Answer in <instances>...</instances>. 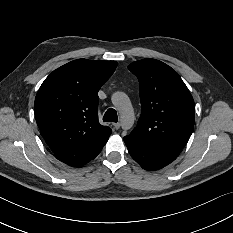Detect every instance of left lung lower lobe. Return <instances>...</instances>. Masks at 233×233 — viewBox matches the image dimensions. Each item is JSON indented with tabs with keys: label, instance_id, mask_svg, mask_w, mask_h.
Returning <instances> with one entry per match:
<instances>
[{
	"label": "left lung lower lobe",
	"instance_id": "0a47b994",
	"mask_svg": "<svg viewBox=\"0 0 233 233\" xmlns=\"http://www.w3.org/2000/svg\"><path fill=\"white\" fill-rule=\"evenodd\" d=\"M131 157L145 170H158L174 161L177 156L159 151L130 137H124Z\"/></svg>",
	"mask_w": 233,
	"mask_h": 233
}]
</instances>
